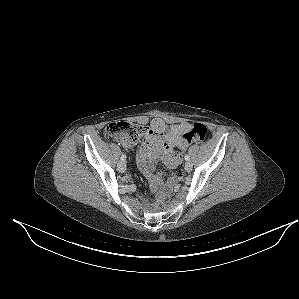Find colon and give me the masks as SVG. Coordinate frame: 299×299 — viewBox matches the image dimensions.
I'll return each instance as SVG.
<instances>
[{
	"instance_id": "obj_1",
	"label": "colon",
	"mask_w": 299,
	"mask_h": 299,
	"mask_svg": "<svg viewBox=\"0 0 299 299\" xmlns=\"http://www.w3.org/2000/svg\"><path fill=\"white\" fill-rule=\"evenodd\" d=\"M148 127L141 124L117 121L110 123L106 130L105 135L113 139H125L130 142H136L141 137L147 135ZM207 135V127L202 123H195L191 126L190 130L185 134V139L189 143H201ZM169 198L167 190L159 191L156 195V203L161 204Z\"/></svg>"
}]
</instances>
